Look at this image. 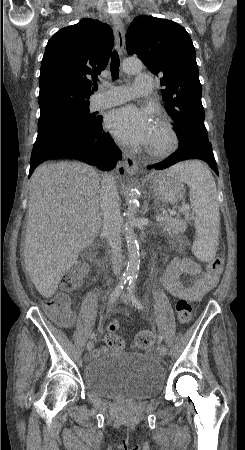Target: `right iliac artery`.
I'll return each mask as SVG.
<instances>
[{
  "label": "right iliac artery",
  "mask_w": 245,
  "mask_h": 450,
  "mask_svg": "<svg viewBox=\"0 0 245 450\" xmlns=\"http://www.w3.org/2000/svg\"><path fill=\"white\" fill-rule=\"evenodd\" d=\"M131 276L129 275H123L120 282L118 283V285L116 286V288L114 289V291L112 292L110 298H109V303H114L120 296L123 288L125 287V284L128 282V280L130 279ZM95 336L94 333H92L90 335V338L92 339Z\"/></svg>",
  "instance_id": "82829eb1"
}]
</instances>
